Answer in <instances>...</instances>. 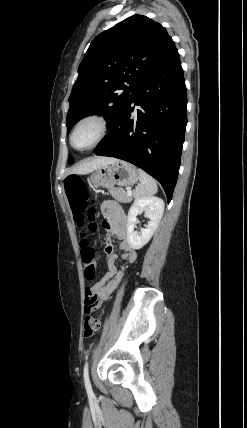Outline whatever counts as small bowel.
<instances>
[{"mask_svg": "<svg viewBox=\"0 0 247 428\" xmlns=\"http://www.w3.org/2000/svg\"><path fill=\"white\" fill-rule=\"evenodd\" d=\"M101 212L106 219V227L109 232L120 240V250L123 251L122 259L133 263L137 254L128 241L127 218L122 207L115 201H105L101 205ZM106 263L108 272L94 284L85 288V301L88 298H96L104 302L113 293L124 275V269L116 265L117 254L114 246L108 242L105 245Z\"/></svg>", "mask_w": 247, "mask_h": 428, "instance_id": "small-bowel-1", "label": "small bowel"}]
</instances>
